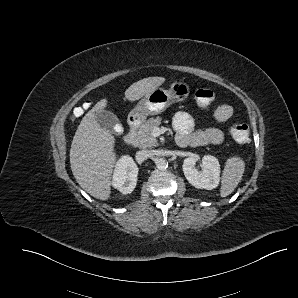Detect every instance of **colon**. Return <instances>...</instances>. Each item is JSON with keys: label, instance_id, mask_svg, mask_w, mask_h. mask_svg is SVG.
<instances>
[{"label": "colon", "instance_id": "1", "mask_svg": "<svg viewBox=\"0 0 298 298\" xmlns=\"http://www.w3.org/2000/svg\"><path fill=\"white\" fill-rule=\"evenodd\" d=\"M194 97L199 106L208 107L213 103L215 94L209 88L199 87L195 90ZM86 110V106L79 107L75 114L81 115ZM230 133L232 138L238 143H247L250 139L249 127L245 123H236L232 125Z\"/></svg>", "mask_w": 298, "mask_h": 298}]
</instances>
